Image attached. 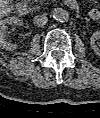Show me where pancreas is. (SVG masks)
<instances>
[{
	"mask_svg": "<svg viewBox=\"0 0 100 118\" xmlns=\"http://www.w3.org/2000/svg\"><path fill=\"white\" fill-rule=\"evenodd\" d=\"M35 1H38V0H35ZM45 1L46 0H39V3L40 4H43ZM38 8H40V6L39 5H36L34 9H38Z\"/></svg>",
	"mask_w": 100,
	"mask_h": 118,
	"instance_id": "obj_1",
	"label": "pancreas"
}]
</instances>
